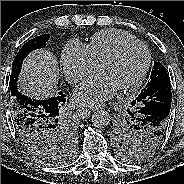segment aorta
Masks as SVG:
<instances>
[{"mask_svg":"<svg viewBox=\"0 0 184 184\" xmlns=\"http://www.w3.org/2000/svg\"><path fill=\"white\" fill-rule=\"evenodd\" d=\"M92 123L97 128H104L110 123V115L105 110H98L92 114Z\"/></svg>","mask_w":184,"mask_h":184,"instance_id":"aorta-1","label":"aorta"}]
</instances>
